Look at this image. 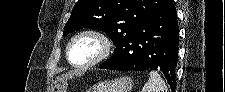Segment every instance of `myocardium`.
Wrapping results in <instances>:
<instances>
[{
    "label": "myocardium",
    "instance_id": "f54148a6",
    "mask_svg": "<svg viewBox=\"0 0 225 92\" xmlns=\"http://www.w3.org/2000/svg\"><path fill=\"white\" fill-rule=\"evenodd\" d=\"M84 37H90L96 40L100 46V51L97 54V56L94 57L92 60L83 64H77L71 59V56H70L71 47L77 40ZM111 51H112V42L110 38L104 32L100 30H96V29H87L77 33L75 36L71 38V40L69 41L66 47V59H67V62L73 68L83 69V68H88L100 63L111 54Z\"/></svg>",
    "mask_w": 225,
    "mask_h": 92
}]
</instances>
